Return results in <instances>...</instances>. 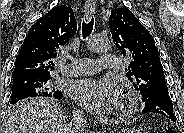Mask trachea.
Wrapping results in <instances>:
<instances>
[{
    "mask_svg": "<svg viewBox=\"0 0 184 133\" xmlns=\"http://www.w3.org/2000/svg\"><path fill=\"white\" fill-rule=\"evenodd\" d=\"M93 25H94V18L93 17L88 22L83 21V23H82L83 39L87 38L92 33Z\"/></svg>",
    "mask_w": 184,
    "mask_h": 133,
    "instance_id": "obj_1",
    "label": "trachea"
}]
</instances>
